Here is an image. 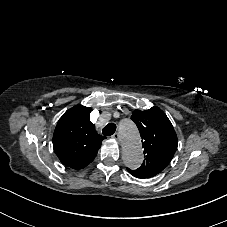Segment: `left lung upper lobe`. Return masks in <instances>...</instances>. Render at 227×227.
Masks as SVG:
<instances>
[{"label":"left lung upper lobe","instance_id":"obj_1","mask_svg":"<svg viewBox=\"0 0 227 227\" xmlns=\"http://www.w3.org/2000/svg\"><path fill=\"white\" fill-rule=\"evenodd\" d=\"M131 119L139 129L145 159L140 168L127 170L137 178L153 177L170 163L175 154L178 145L175 130L158 107L134 110Z\"/></svg>","mask_w":227,"mask_h":227}]
</instances>
